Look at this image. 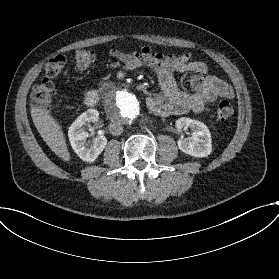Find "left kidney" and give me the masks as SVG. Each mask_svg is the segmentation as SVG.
<instances>
[{
	"label": "left kidney",
	"mask_w": 279,
	"mask_h": 279,
	"mask_svg": "<svg viewBox=\"0 0 279 279\" xmlns=\"http://www.w3.org/2000/svg\"><path fill=\"white\" fill-rule=\"evenodd\" d=\"M178 130L190 128L191 141L180 139L178 148L180 151L194 158L208 157L212 152L211 134L208 127L202 122L190 118H180L176 122Z\"/></svg>",
	"instance_id": "left-kidney-1"
}]
</instances>
